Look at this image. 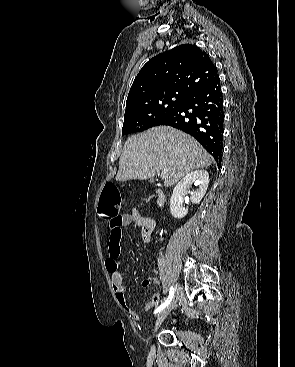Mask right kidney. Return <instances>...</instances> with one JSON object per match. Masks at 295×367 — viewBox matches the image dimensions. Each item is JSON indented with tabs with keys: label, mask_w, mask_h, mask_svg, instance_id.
<instances>
[{
	"label": "right kidney",
	"mask_w": 295,
	"mask_h": 367,
	"mask_svg": "<svg viewBox=\"0 0 295 367\" xmlns=\"http://www.w3.org/2000/svg\"><path fill=\"white\" fill-rule=\"evenodd\" d=\"M192 183L198 186V188L190 192L191 201L194 204H198L204 197L208 188V172L206 170L192 171L175 186L170 199V211L174 218L181 219L187 215L188 209L183 205V196Z\"/></svg>",
	"instance_id": "1"
}]
</instances>
